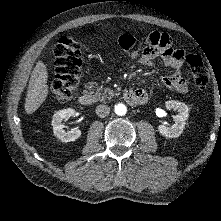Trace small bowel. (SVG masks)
<instances>
[{"instance_id":"obj_1","label":"small bowel","mask_w":221,"mask_h":221,"mask_svg":"<svg viewBox=\"0 0 221 221\" xmlns=\"http://www.w3.org/2000/svg\"><path fill=\"white\" fill-rule=\"evenodd\" d=\"M119 46L146 66H152L156 58L160 57L165 65L172 70L169 76L159 78L157 82L162 86L179 93H185L188 89L186 80L181 76L180 68L183 64L185 53L175 49L172 39L167 34L152 32L142 39V47L139 51L134 50L135 38L131 35H122L118 40ZM145 100L148 95L144 89L136 90Z\"/></svg>"}]
</instances>
